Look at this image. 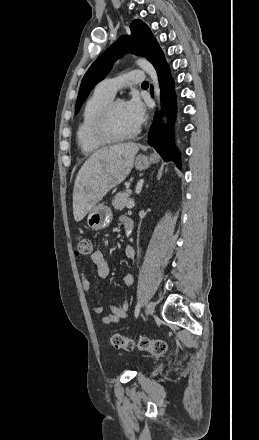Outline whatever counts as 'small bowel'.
<instances>
[{
    "label": "small bowel",
    "instance_id": "1",
    "mask_svg": "<svg viewBox=\"0 0 259 440\" xmlns=\"http://www.w3.org/2000/svg\"><path fill=\"white\" fill-rule=\"evenodd\" d=\"M127 219V217H121L120 220L123 225ZM124 257L126 259H133L135 257V249L130 245L126 246L124 249ZM90 260L95 266L96 273L100 278H106L109 275L110 267L101 250H95L91 254ZM80 276L83 290L88 295L93 296L91 283L84 269L81 270ZM122 283L125 287H130L133 284V276L131 274H125L122 278ZM129 308L130 303L128 301L123 302L121 305L113 306L111 308V312L103 315L101 320L104 324L118 323L121 319L127 316ZM93 312L96 314H102L104 312L103 304L101 302H97L93 306Z\"/></svg>",
    "mask_w": 259,
    "mask_h": 440
}]
</instances>
